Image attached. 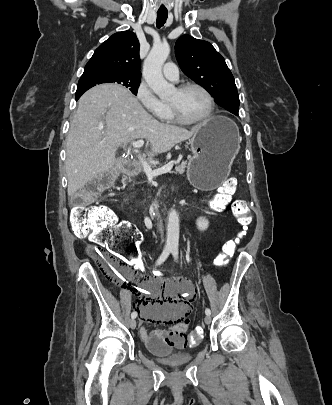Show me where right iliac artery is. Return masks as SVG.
<instances>
[{"mask_svg":"<svg viewBox=\"0 0 332 405\" xmlns=\"http://www.w3.org/2000/svg\"><path fill=\"white\" fill-rule=\"evenodd\" d=\"M171 250H172L171 248L166 247V248L163 250V252H162V254L160 255V257L157 259V261H156V263H155V266H158V265L162 264V263L168 258L169 254L171 253ZM136 317H137V312H136V311H133L132 314H131V318H132V319H135Z\"/></svg>","mask_w":332,"mask_h":405,"instance_id":"right-iliac-artery-1","label":"right iliac artery"}]
</instances>
